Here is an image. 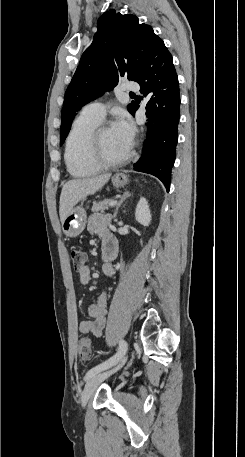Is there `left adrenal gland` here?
<instances>
[{"label":"left adrenal gland","mask_w":245,"mask_h":457,"mask_svg":"<svg viewBox=\"0 0 245 457\" xmlns=\"http://www.w3.org/2000/svg\"><path fill=\"white\" fill-rule=\"evenodd\" d=\"M128 196H130L129 190H126V192H123L122 198H120L118 204H116V208H115V210H114L113 218H116L117 212H118V210H119V206H121L123 200H125V198H128Z\"/></svg>","instance_id":"1"}]
</instances>
